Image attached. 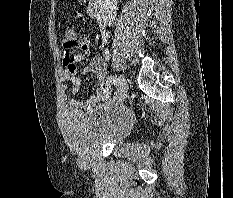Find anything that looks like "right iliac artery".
I'll return each instance as SVG.
<instances>
[{
  "instance_id": "obj_1",
  "label": "right iliac artery",
  "mask_w": 233,
  "mask_h": 198,
  "mask_svg": "<svg viewBox=\"0 0 233 198\" xmlns=\"http://www.w3.org/2000/svg\"><path fill=\"white\" fill-rule=\"evenodd\" d=\"M111 82H112L114 85H117V86H118L119 83H120V82H119V79H118L117 77H114V76L111 77Z\"/></svg>"
}]
</instances>
